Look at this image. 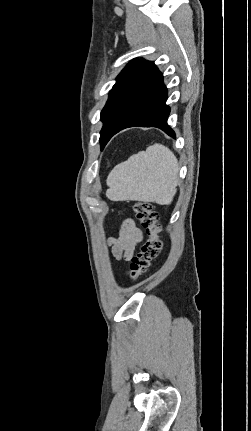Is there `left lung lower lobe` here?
<instances>
[{"label":"left lung lower lobe","instance_id":"left-lung-lower-lobe-1","mask_svg":"<svg viewBox=\"0 0 251 431\" xmlns=\"http://www.w3.org/2000/svg\"><path fill=\"white\" fill-rule=\"evenodd\" d=\"M166 100L167 89L163 76L154 67L111 137L122 129L133 126L157 127L175 137L174 131L167 124L170 108L166 105Z\"/></svg>","mask_w":251,"mask_h":431}]
</instances>
